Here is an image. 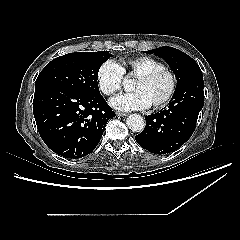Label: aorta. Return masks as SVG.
<instances>
[{
	"instance_id": "762f6f07",
	"label": "aorta",
	"mask_w": 240,
	"mask_h": 240,
	"mask_svg": "<svg viewBox=\"0 0 240 240\" xmlns=\"http://www.w3.org/2000/svg\"><path fill=\"white\" fill-rule=\"evenodd\" d=\"M132 83L131 76H127L123 80V87L125 90H129ZM127 126L133 132H141L144 129L145 122L144 119L139 114H132L127 118Z\"/></svg>"
}]
</instances>
